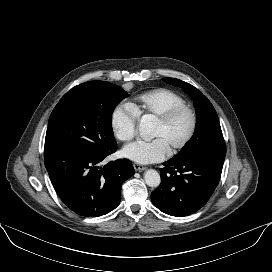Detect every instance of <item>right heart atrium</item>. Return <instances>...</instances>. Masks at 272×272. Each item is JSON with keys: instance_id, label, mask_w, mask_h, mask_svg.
Listing matches in <instances>:
<instances>
[{"instance_id": "right-heart-atrium-1", "label": "right heart atrium", "mask_w": 272, "mask_h": 272, "mask_svg": "<svg viewBox=\"0 0 272 272\" xmlns=\"http://www.w3.org/2000/svg\"><path fill=\"white\" fill-rule=\"evenodd\" d=\"M138 117L129 104L117 105L111 114V127L115 136L123 142L131 140L136 133Z\"/></svg>"}]
</instances>
